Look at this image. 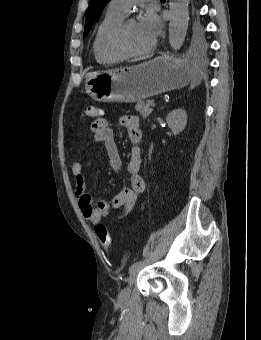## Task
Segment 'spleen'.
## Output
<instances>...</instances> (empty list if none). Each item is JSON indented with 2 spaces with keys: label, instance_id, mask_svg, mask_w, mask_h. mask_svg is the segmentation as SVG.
Returning a JSON list of instances; mask_svg holds the SVG:
<instances>
[{
  "label": "spleen",
  "instance_id": "1",
  "mask_svg": "<svg viewBox=\"0 0 261 340\" xmlns=\"http://www.w3.org/2000/svg\"><path fill=\"white\" fill-rule=\"evenodd\" d=\"M199 82H200L199 75L197 73H195V76H194V78L192 80V86L193 87L197 86L199 84Z\"/></svg>",
  "mask_w": 261,
  "mask_h": 340
}]
</instances>
